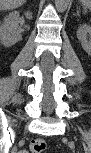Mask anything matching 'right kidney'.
<instances>
[{
	"instance_id": "ca27d5eb",
	"label": "right kidney",
	"mask_w": 91,
	"mask_h": 153,
	"mask_svg": "<svg viewBox=\"0 0 91 153\" xmlns=\"http://www.w3.org/2000/svg\"><path fill=\"white\" fill-rule=\"evenodd\" d=\"M25 17L29 20L32 19V13L26 12ZM20 22L19 12L14 11L4 18L3 25L0 28V41L5 47H11L21 40L22 36L18 31Z\"/></svg>"
}]
</instances>
